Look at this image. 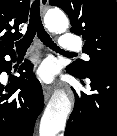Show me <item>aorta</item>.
Segmentation results:
<instances>
[{"instance_id": "762f6f07", "label": "aorta", "mask_w": 117, "mask_h": 136, "mask_svg": "<svg viewBox=\"0 0 117 136\" xmlns=\"http://www.w3.org/2000/svg\"><path fill=\"white\" fill-rule=\"evenodd\" d=\"M48 29L61 34L68 29L69 21L63 12L50 10L45 18ZM72 110L68 96L61 91L54 93L40 121L39 136H58L66 124V119Z\"/></svg>"}]
</instances>
